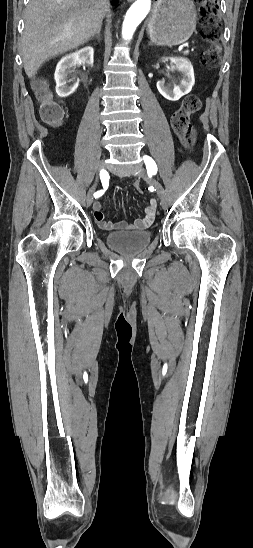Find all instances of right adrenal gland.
Returning a JSON list of instances; mask_svg holds the SVG:
<instances>
[{
  "instance_id": "1",
  "label": "right adrenal gland",
  "mask_w": 253,
  "mask_h": 548,
  "mask_svg": "<svg viewBox=\"0 0 253 548\" xmlns=\"http://www.w3.org/2000/svg\"><path fill=\"white\" fill-rule=\"evenodd\" d=\"M95 37L98 39V41L101 40V38H100V30H99L95 35H93V36L90 38V40L94 39Z\"/></svg>"
}]
</instances>
